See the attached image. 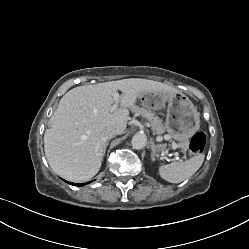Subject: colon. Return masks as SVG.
Wrapping results in <instances>:
<instances>
[{
	"mask_svg": "<svg viewBox=\"0 0 249 249\" xmlns=\"http://www.w3.org/2000/svg\"><path fill=\"white\" fill-rule=\"evenodd\" d=\"M206 144V136L202 132L195 133L189 142V150L192 154L201 152Z\"/></svg>",
	"mask_w": 249,
	"mask_h": 249,
	"instance_id": "obj_1",
	"label": "colon"
}]
</instances>
